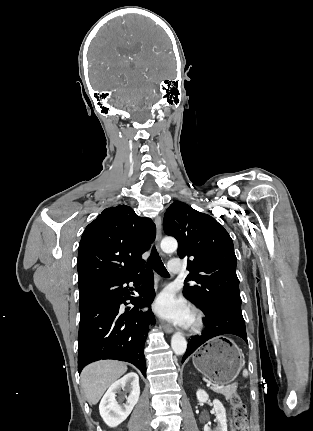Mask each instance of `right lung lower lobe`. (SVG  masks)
I'll return each mask as SVG.
<instances>
[{
  "mask_svg": "<svg viewBox=\"0 0 313 431\" xmlns=\"http://www.w3.org/2000/svg\"><path fill=\"white\" fill-rule=\"evenodd\" d=\"M140 275L95 279L79 284L80 324L78 371L101 359H117L134 364L146 376L144 344L155 317L149 307L155 297L152 271H148L139 297H131L128 284ZM131 300L134 307H125Z\"/></svg>",
  "mask_w": 313,
  "mask_h": 431,
  "instance_id": "obj_1",
  "label": "right lung lower lobe"
}]
</instances>
